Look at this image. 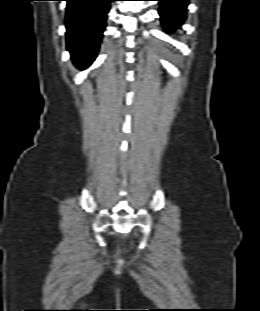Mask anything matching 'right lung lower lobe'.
Masks as SVG:
<instances>
[{"label": "right lung lower lobe", "mask_w": 260, "mask_h": 311, "mask_svg": "<svg viewBox=\"0 0 260 311\" xmlns=\"http://www.w3.org/2000/svg\"><path fill=\"white\" fill-rule=\"evenodd\" d=\"M66 1L67 49L74 63L86 68L96 58L112 0Z\"/></svg>", "instance_id": "1"}]
</instances>
